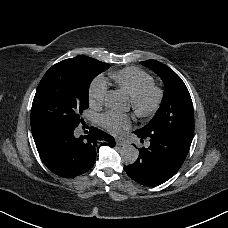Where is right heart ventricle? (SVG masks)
<instances>
[{
  "label": "right heart ventricle",
  "instance_id": "1",
  "mask_svg": "<svg viewBox=\"0 0 228 228\" xmlns=\"http://www.w3.org/2000/svg\"><path fill=\"white\" fill-rule=\"evenodd\" d=\"M108 75L117 86L116 92H124L127 96L131 97L153 86L154 83L153 78L149 74L133 67L121 71H110Z\"/></svg>",
  "mask_w": 228,
  "mask_h": 228
}]
</instances>
